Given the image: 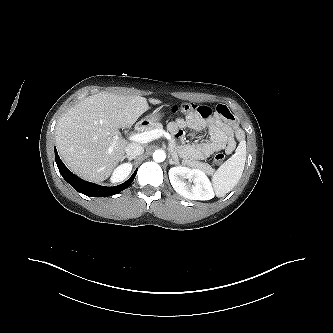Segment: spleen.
Segmentation results:
<instances>
[{"label":"spleen","instance_id":"spleen-1","mask_svg":"<svg viewBox=\"0 0 333 333\" xmlns=\"http://www.w3.org/2000/svg\"><path fill=\"white\" fill-rule=\"evenodd\" d=\"M246 162V142L241 141L236 152L214 173L213 183L218 197L225 196L239 182Z\"/></svg>","mask_w":333,"mask_h":333}]
</instances>
